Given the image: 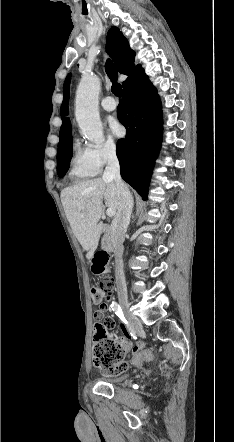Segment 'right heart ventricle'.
Here are the masks:
<instances>
[{
    "label": "right heart ventricle",
    "mask_w": 234,
    "mask_h": 442,
    "mask_svg": "<svg viewBox=\"0 0 234 442\" xmlns=\"http://www.w3.org/2000/svg\"><path fill=\"white\" fill-rule=\"evenodd\" d=\"M98 171L91 156L90 148L76 141L73 144L69 176L74 180H85L96 176Z\"/></svg>",
    "instance_id": "obj_1"
}]
</instances>
